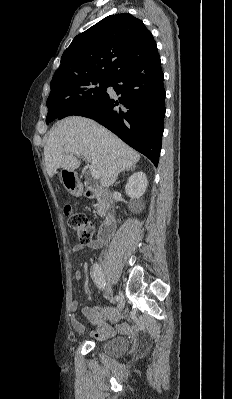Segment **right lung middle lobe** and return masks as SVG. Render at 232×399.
I'll return each mask as SVG.
<instances>
[{"mask_svg": "<svg viewBox=\"0 0 232 399\" xmlns=\"http://www.w3.org/2000/svg\"><path fill=\"white\" fill-rule=\"evenodd\" d=\"M109 83L110 79L94 80L81 83L66 92L49 95L46 124L57 119L62 113L69 115L82 107L99 103L107 95Z\"/></svg>", "mask_w": 232, "mask_h": 399, "instance_id": "obj_1", "label": "right lung middle lobe"}]
</instances>
